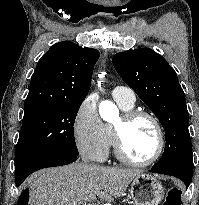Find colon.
I'll list each match as a JSON object with an SVG mask.
<instances>
[{
    "label": "colon",
    "mask_w": 199,
    "mask_h": 205,
    "mask_svg": "<svg viewBox=\"0 0 199 205\" xmlns=\"http://www.w3.org/2000/svg\"><path fill=\"white\" fill-rule=\"evenodd\" d=\"M163 205H182V190L179 187H171Z\"/></svg>",
    "instance_id": "colon-1"
}]
</instances>
